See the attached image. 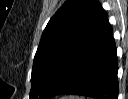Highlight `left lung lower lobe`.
<instances>
[{
    "label": "left lung lower lobe",
    "instance_id": "1",
    "mask_svg": "<svg viewBox=\"0 0 128 99\" xmlns=\"http://www.w3.org/2000/svg\"><path fill=\"white\" fill-rule=\"evenodd\" d=\"M117 70L112 27L105 14L85 43L60 67L45 99L62 94L117 99Z\"/></svg>",
    "mask_w": 128,
    "mask_h": 99
}]
</instances>
